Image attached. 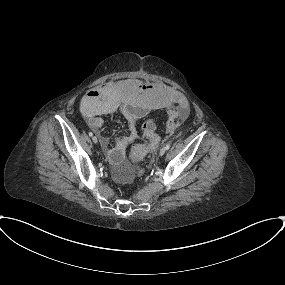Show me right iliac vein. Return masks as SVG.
<instances>
[{
    "label": "right iliac vein",
    "instance_id": "obj_1",
    "mask_svg": "<svg viewBox=\"0 0 285 285\" xmlns=\"http://www.w3.org/2000/svg\"><path fill=\"white\" fill-rule=\"evenodd\" d=\"M92 141H93L94 143H97V142H98V138H97L96 136H93V137H92Z\"/></svg>",
    "mask_w": 285,
    "mask_h": 285
}]
</instances>
